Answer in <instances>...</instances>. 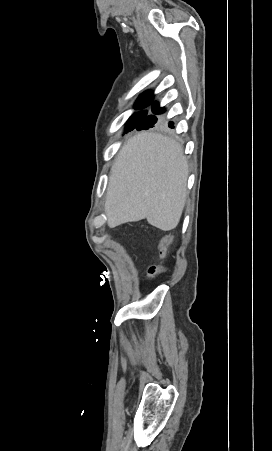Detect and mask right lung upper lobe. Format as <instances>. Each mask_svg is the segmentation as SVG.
Listing matches in <instances>:
<instances>
[{"mask_svg": "<svg viewBox=\"0 0 272 451\" xmlns=\"http://www.w3.org/2000/svg\"><path fill=\"white\" fill-rule=\"evenodd\" d=\"M152 97V94L150 92H144L138 99H149Z\"/></svg>", "mask_w": 272, "mask_h": 451, "instance_id": "right-lung-upper-lobe-1", "label": "right lung upper lobe"}]
</instances>
